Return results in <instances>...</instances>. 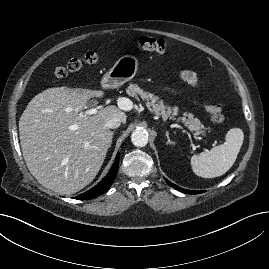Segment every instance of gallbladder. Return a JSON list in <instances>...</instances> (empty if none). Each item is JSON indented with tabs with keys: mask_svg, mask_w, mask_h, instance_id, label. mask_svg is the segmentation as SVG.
<instances>
[{
	"mask_svg": "<svg viewBox=\"0 0 269 269\" xmlns=\"http://www.w3.org/2000/svg\"><path fill=\"white\" fill-rule=\"evenodd\" d=\"M94 103H95V101H94V100H91V101H90V104H91V105H93Z\"/></svg>",
	"mask_w": 269,
	"mask_h": 269,
	"instance_id": "1",
	"label": "gallbladder"
}]
</instances>
